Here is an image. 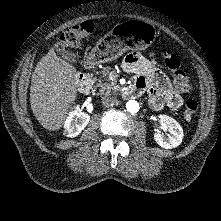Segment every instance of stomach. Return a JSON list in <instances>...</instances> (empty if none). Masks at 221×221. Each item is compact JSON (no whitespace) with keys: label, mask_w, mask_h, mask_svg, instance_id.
I'll return each mask as SVG.
<instances>
[{"label":"stomach","mask_w":221,"mask_h":221,"mask_svg":"<svg viewBox=\"0 0 221 221\" xmlns=\"http://www.w3.org/2000/svg\"><path fill=\"white\" fill-rule=\"evenodd\" d=\"M156 37L154 28L143 21L134 19L111 27L107 35L99 40L89 53L91 64H101L119 58L127 49L144 50Z\"/></svg>","instance_id":"1"}]
</instances>
